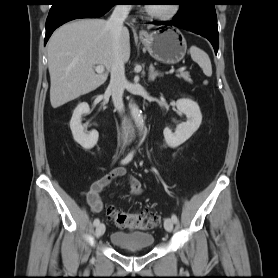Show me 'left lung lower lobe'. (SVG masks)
Masks as SVG:
<instances>
[{
    "label": "left lung lower lobe",
    "mask_w": 278,
    "mask_h": 278,
    "mask_svg": "<svg viewBox=\"0 0 278 278\" xmlns=\"http://www.w3.org/2000/svg\"><path fill=\"white\" fill-rule=\"evenodd\" d=\"M213 0H191L189 5L182 8L172 21H157L155 24L175 26L200 34L207 38L217 54L219 40L217 17Z\"/></svg>",
    "instance_id": "1"
}]
</instances>
